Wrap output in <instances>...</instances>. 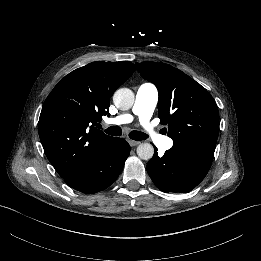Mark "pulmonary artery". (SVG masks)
Wrapping results in <instances>:
<instances>
[{
	"label": "pulmonary artery",
	"mask_w": 261,
	"mask_h": 261,
	"mask_svg": "<svg viewBox=\"0 0 261 261\" xmlns=\"http://www.w3.org/2000/svg\"><path fill=\"white\" fill-rule=\"evenodd\" d=\"M158 99L159 94L154 85L146 82L139 86L134 103V113L139 117L142 125L148 126L149 120L157 106ZM131 120L132 117L130 115H121L110 121L113 124H123ZM160 145L163 150L167 151L172 148L173 144L170 139L166 138L161 141Z\"/></svg>",
	"instance_id": "e3ab8cb5"
}]
</instances>
